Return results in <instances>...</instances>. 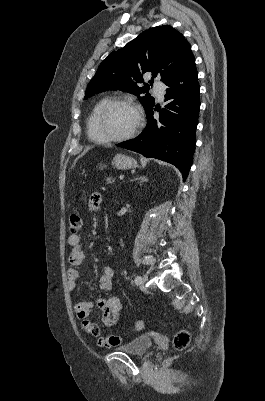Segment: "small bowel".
<instances>
[{
	"instance_id": "1",
	"label": "small bowel",
	"mask_w": 265,
	"mask_h": 401,
	"mask_svg": "<svg viewBox=\"0 0 265 401\" xmlns=\"http://www.w3.org/2000/svg\"><path fill=\"white\" fill-rule=\"evenodd\" d=\"M102 202V196L99 193H93L89 198V208L92 211H98ZM70 251L68 262L70 267L67 270V284L69 290H74L79 278V272L75 268L81 265L85 255L81 246V238L77 234L68 237ZM114 270L110 266H105L99 277V289L108 295V298H93L88 301L78 302L73 305V310L77 318L81 321L84 331L97 338V343L103 348H112L122 343V338L117 335H101L100 328L88 319L90 313L97 308L101 312L102 323L106 327H113L119 320L123 309L121 299L113 293Z\"/></svg>"
}]
</instances>
